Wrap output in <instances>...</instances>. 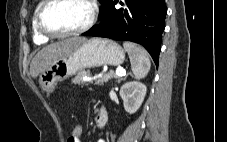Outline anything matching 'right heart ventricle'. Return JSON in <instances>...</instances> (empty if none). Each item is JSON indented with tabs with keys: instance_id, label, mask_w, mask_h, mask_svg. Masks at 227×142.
<instances>
[{
	"instance_id": "e07e8e85",
	"label": "right heart ventricle",
	"mask_w": 227,
	"mask_h": 142,
	"mask_svg": "<svg viewBox=\"0 0 227 142\" xmlns=\"http://www.w3.org/2000/svg\"><path fill=\"white\" fill-rule=\"evenodd\" d=\"M43 1H40L33 12V16H32V32H33V40L35 43L37 44H43L46 43L49 40V37L41 34L37 28V21H36V17H37V12L40 8V6L42 5Z\"/></svg>"
}]
</instances>
